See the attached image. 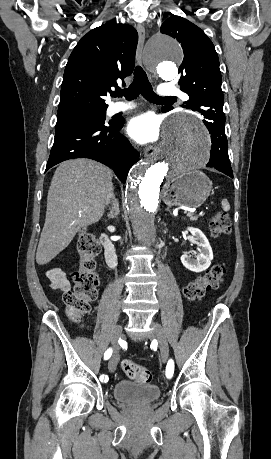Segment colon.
I'll return each mask as SVG.
<instances>
[{
  "instance_id": "colon-1",
  "label": "colon",
  "mask_w": 271,
  "mask_h": 459,
  "mask_svg": "<svg viewBox=\"0 0 271 459\" xmlns=\"http://www.w3.org/2000/svg\"><path fill=\"white\" fill-rule=\"evenodd\" d=\"M214 237H220L230 232L231 224L228 215L218 212L208 221ZM79 267L73 273V290L66 291L63 300L70 320L79 322L89 313L91 303L97 296L100 277L96 272V257L100 246L95 236L82 229L77 239ZM225 267L221 264L212 266L205 274L191 281L184 289V295L189 301L200 300L206 292L218 288L224 279ZM123 372L140 383H149L152 380L150 371L135 362L125 359L121 363Z\"/></svg>"
}]
</instances>
